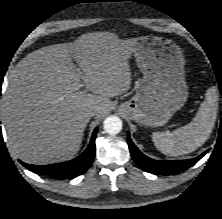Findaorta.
Wrapping results in <instances>:
<instances>
[{"label": "aorta", "mask_w": 222, "mask_h": 219, "mask_svg": "<svg viewBox=\"0 0 222 219\" xmlns=\"http://www.w3.org/2000/svg\"><path fill=\"white\" fill-rule=\"evenodd\" d=\"M104 130L110 134H118L122 129V120L117 116H109L104 121Z\"/></svg>", "instance_id": "aorta-1"}]
</instances>
